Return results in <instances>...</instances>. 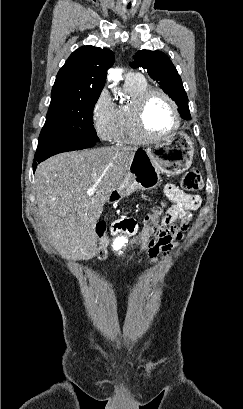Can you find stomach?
I'll use <instances>...</instances> for the list:
<instances>
[{
	"label": "stomach",
	"mask_w": 243,
	"mask_h": 409,
	"mask_svg": "<svg viewBox=\"0 0 243 409\" xmlns=\"http://www.w3.org/2000/svg\"><path fill=\"white\" fill-rule=\"evenodd\" d=\"M194 147L184 133L171 136L165 142L137 151L130 169L117 193L120 198L136 190H151L158 186L160 174L178 175L192 164Z\"/></svg>",
	"instance_id": "stomach-1"
}]
</instances>
